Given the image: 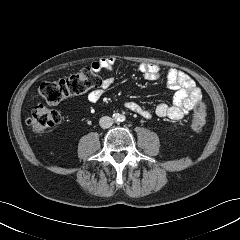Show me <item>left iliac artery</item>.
I'll return each mask as SVG.
<instances>
[{
	"label": "left iliac artery",
	"mask_w": 240,
	"mask_h": 240,
	"mask_svg": "<svg viewBox=\"0 0 240 240\" xmlns=\"http://www.w3.org/2000/svg\"><path fill=\"white\" fill-rule=\"evenodd\" d=\"M121 120L124 121V120H125V116H122V117H121Z\"/></svg>",
	"instance_id": "left-iliac-artery-1"
}]
</instances>
